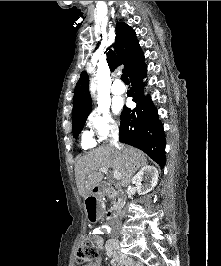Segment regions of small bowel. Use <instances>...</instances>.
<instances>
[{
	"label": "small bowel",
	"mask_w": 221,
	"mask_h": 266,
	"mask_svg": "<svg viewBox=\"0 0 221 266\" xmlns=\"http://www.w3.org/2000/svg\"><path fill=\"white\" fill-rule=\"evenodd\" d=\"M96 242L98 247L101 248L102 240L100 238H96ZM106 254L110 258L113 266H145L140 261H133L127 256L120 254L116 249H114L111 246L106 248ZM99 264H100V259H97L93 263L84 266H99Z\"/></svg>",
	"instance_id": "small-bowel-1"
}]
</instances>
